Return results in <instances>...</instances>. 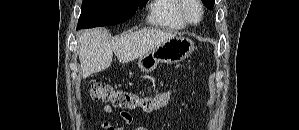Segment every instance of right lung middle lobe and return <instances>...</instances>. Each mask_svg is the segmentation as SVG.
I'll use <instances>...</instances> for the list:
<instances>
[{
    "label": "right lung middle lobe",
    "instance_id": "right-lung-middle-lobe-1",
    "mask_svg": "<svg viewBox=\"0 0 299 130\" xmlns=\"http://www.w3.org/2000/svg\"><path fill=\"white\" fill-rule=\"evenodd\" d=\"M148 0H83L78 29L114 25L130 19Z\"/></svg>",
    "mask_w": 299,
    "mask_h": 130
}]
</instances>
